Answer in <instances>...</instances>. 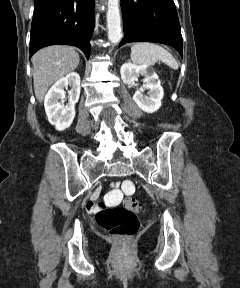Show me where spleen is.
<instances>
[{
  "instance_id": "3e777b00",
  "label": "spleen",
  "mask_w": 240,
  "mask_h": 288,
  "mask_svg": "<svg viewBox=\"0 0 240 288\" xmlns=\"http://www.w3.org/2000/svg\"><path fill=\"white\" fill-rule=\"evenodd\" d=\"M131 60L135 64L146 66L154 65L156 61L161 60L172 69H178V63L171 53L162 46L149 42L134 44L131 47Z\"/></svg>"
}]
</instances>
